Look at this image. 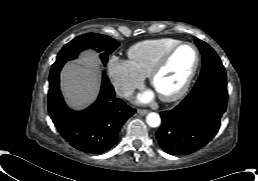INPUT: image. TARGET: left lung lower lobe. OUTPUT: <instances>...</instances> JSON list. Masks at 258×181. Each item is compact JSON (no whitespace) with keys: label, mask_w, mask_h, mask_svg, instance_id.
Here are the masks:
<instances>
[{"label":"left lung lower lobe","mask_w":258,"mask_h":181,"mask_svg":"<svg viewBox=\"0 0 258 181\" xmlns=\"http://www.w3.org/2000/svg\"><path fill=\"white\" fill-rule=\"evenodd\" d=\"M227 97L226 79L195 84L179 105L160 113L162 124L156 132L160 147L171 155H188L204 147L220 128Z\"/></svg>","instance_id":"obj_1"}]
</instances>
